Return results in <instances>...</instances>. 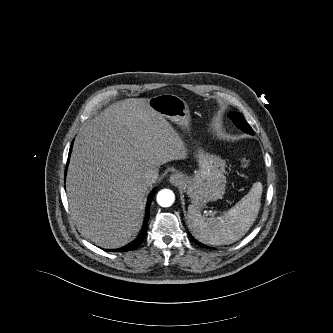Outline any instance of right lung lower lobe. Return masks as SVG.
<instances>
[{"label": "right lung lower lobe", "instance_id": "obj_1", "mask_svg": "<svg viewBox=\"0 0 333 333\" xmlns=\"http://www.w3.org/2000/svg\"><path fill=\"white\" fill-rule=\"evenodd\" d=\"M71 148H72V146H71ZM71 148H70V151H69V156H70V153H71ZM154 195H155V190H153L151 192V194L149 195V199H148L147 207H146L145 221H144V224H143L142 231H141L140 235L138 236V238L136 240H134L133 242L129 243L128 245H126L125 247L115 249V250H112V251H114V252L130 251V250H133V249L137 248L139 246V244L143 241V239L145 237V234H146L147 223H148V219H149V207H150V204H151V201H152V198H153Z\"/></svg>", "mask_w": 333, "mask_h": 333}]
</instances>
